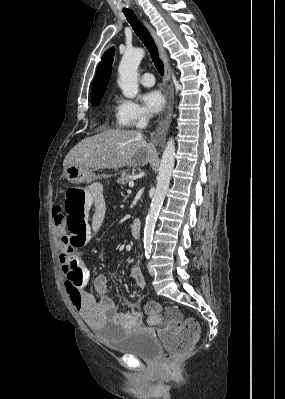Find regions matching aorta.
Here are the masks:
<instances>
[{"label":"aorta","mask_w":285,"mask_h":399,"mask_svg":"<svg viewBox=\"0 0 285 399\" xmlns=\"http://www.w3.org/2000/svg\"><path fill=\"white\" fill-rule=\"evenodd\" d=\"M145 55L142 48L127 49L118 67V85L127 98H134L138 93V67ZM175 163V142L170 138L163 151L157 184L144 228V247L151 246L156 220L169 188Z\"/></svg>","instance_id":"762f6f07"}]
</instances>
